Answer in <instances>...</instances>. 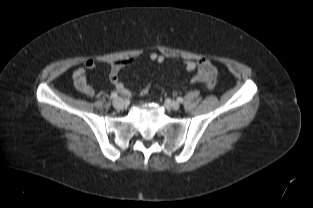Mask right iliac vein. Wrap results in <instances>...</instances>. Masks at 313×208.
<instances>
[{
	"instance_id": "obj_1",
	"label": "right iliac vein",
	"mask_w": 313,
	"mask_h": 208,
	"mask_svg": "<svg viewBox=\"0 0 313 208\" xmlns=\"http://www.w3.org/2000/svg\"><path fill=\"white\" fill-rule=\"evenodd\" d=\"M113 106L115 109L120 110L124 108L125 102L122 98L119 97V98L114 99Z\"/></svg>"
}]
</instances>
